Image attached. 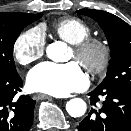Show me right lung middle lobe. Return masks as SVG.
Here are the masks:
<instances>
[{
	"instance_id": "1",
	"label": "right lung middle lobe",
	"mask_w": 131,
	"mask_h": 131,
	"mask_svg": "<svg viewBox=\"0 0 131 131\" xmlns=\"http://www.w3.org/2000/svg\"><path fill=\"white\" fill-rule=\"evenodd\" d=\"M42 15V13H0V74L17 73L13 59L14 43L21 31Z\"/></svg>"
}]
</instances>
